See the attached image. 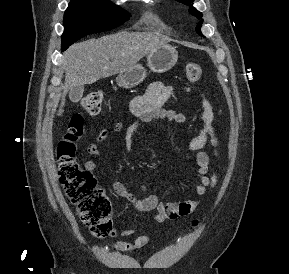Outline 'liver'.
<instances>
[{
    "label": "liver",
    "mask_w": 289,
    "mask_h": 274,
    "mask_svg": "<svg viewBox=\"0 0 289 274\" xmlns=\"http://www.w3.org/2000/svg\"><path fill=\"white\" fill-rule=\"evenodd\" d=\"M165 44L166 39L152 33L126 31L74 44L63 56L65 83L57 115H62L65 96L72 88L125 72Z\"/></svg>",
    "instance_id": "6515ba94"
}]
</instances>
